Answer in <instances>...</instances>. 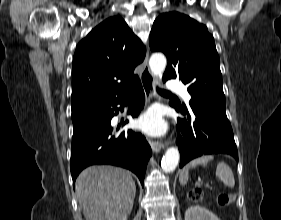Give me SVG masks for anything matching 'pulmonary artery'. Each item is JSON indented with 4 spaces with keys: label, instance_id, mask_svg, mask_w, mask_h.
Returning a JSON list of instances; mask_svg holds the SVG:
<instances>
[{
    "label": "pulmonary artery",
    "instance_id": "obj_1",
    "mask_svg": "<svg viewBox=\"0 0 281 220\" xmlns=\"http://www.w3.org/2000/svg\"><path fill=\"white\" fill-rule=\"evenodd\" d=\"M168 88L172 91H175L177 93H179L182 98L189 103L191 96L187 91V88L185 87L184 84H182L181 82L177 81V80H172L168 83Z\"/></svg>",
    "mask_w": 281,
    "mask_h": 220
}]
</instances>
